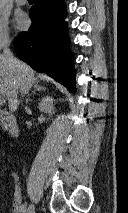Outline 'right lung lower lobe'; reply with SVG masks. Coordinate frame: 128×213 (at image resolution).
<instances>
[{"label":"right lung lower lobe","instance_id":"1","mask_svg":"<svg viewBox=\"0 0 128 213\" xmlns=\"http://www.w3.org/2000/svg\"><path fill=\"white\" fill-rule=\"evenodd\" d=\"M29 12L31 27L14 39L18 57L74 93V57L68 46L64 0H35Z\"/></svg>","mask_w":128,"mask_h":213}]
</instances>
